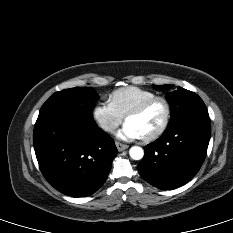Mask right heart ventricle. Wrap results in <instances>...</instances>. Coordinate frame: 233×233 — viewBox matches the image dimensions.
<instances>
[{
  "label": "right heart ventricle",
  "instance_id": "e07e8e85",
  "mask_svg": "<svg viewBox=\"0 0 233 233\" xmlns=\"http://www.w3.org/2000/svg\"><path fill=\"white\" fill-rule=\"evenodd\" d=\"M154 96L156 94L148 89L126 86L114 90L109 96V102L122 117H125L130 110Z\"/></svg>",
  "mask_w": 233,
  "mask_h": 233
}]
</instances>
